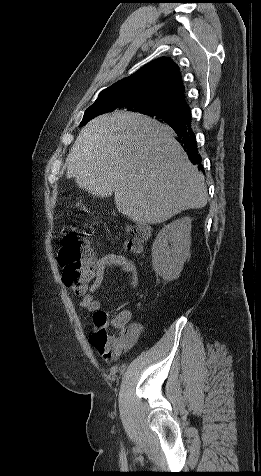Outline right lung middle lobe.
<instances>
[{"label":"right lung middle lobe","instance_id":"right-lung-middle-lobe-1","mask_svg":"<svg viewBox=\"0 0 261 476\" xmlns=\"http://www.w3.org/2000/svg\"><path fill=\"white\" fill-rule=\"evenodd\" d=\"M120 99L121 98L119 94H113L97 99L95 103L85 111L80 126H84L88 121L100 114L122 110L119 102ZM123 109L155 117L156 119H159L160 121L165 122L167 124L178 122L185 115L184 111L158 102H146L129 106Z\"/></svg>","mask_w":261,"mask_h":476}]
</instances>
